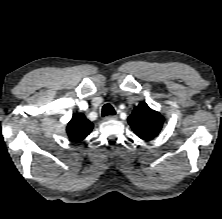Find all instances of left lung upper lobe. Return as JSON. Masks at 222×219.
Here are the masks:
<instances>
[{"label":"left lung upper lobe","mask_w":222,"mask_h":219,"mask_svg":"<svg viewBox=\"0 0 222 219\" xmlns=\"http://www.w3.org/2000/svg\"><path fill=\"white\" fill-rule=\"evenodd\" d=\"M128 123L139 138L151 140L160 132L163 116L150 109L145 102H141L128 117Z\"/></svg>","instance_id":"5c2ea615"}]
</instances>
